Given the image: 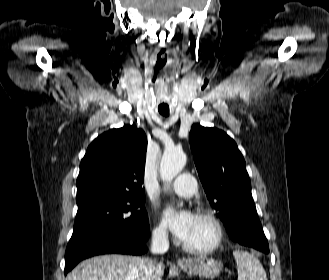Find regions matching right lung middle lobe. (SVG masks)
I'll return each instance as SVG.
<instances>
[{
  "instance_id": "obj_1",
  "label": "right lung middle lobe",
  "mask_w": 329,
  "mask_h": 280,
  "mask_svg": "<svg viewBox=\"0 0 329 280\" xmlns=\"http://www.w3.org/2000/svg\"><path fill=\"white\" fill-rule=\"evenodd\" d=\"M78 211L70 240L93 230H111L128 237L149 230L144 197L89 196L77 198Z\"/></svg>"
}]
</instances>
